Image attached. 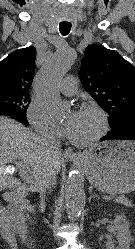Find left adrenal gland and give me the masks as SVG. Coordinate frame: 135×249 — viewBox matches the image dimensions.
I'll return each instance as SVG.
<instances>
[{"label": "left adrenal gland", "instance_id": "a2214340", "mask_svg": "<svg viewBox=\"0 0 135 249\" xmlns=\"http://www.w3.org/2000/svg\"><path fill=\"white\" fill-rule=\"evenodd\" d=\"M92 198H96V196L93 195L92 191H90V196H89V198H88V202H91V199H92Z\"/></svg>", "mask_w": 135, "mask_h": 249}]
</instances>
